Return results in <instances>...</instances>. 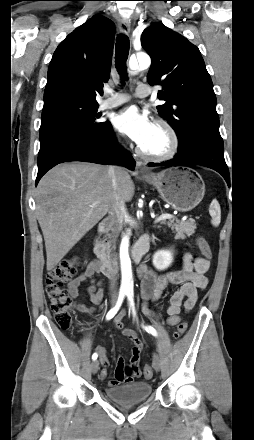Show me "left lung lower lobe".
<instances>
[{
    "mask_svg": "<svg viewBox=\"0 0 254 440\" xmlns=\"http://www.w3.org/2000/svg\"><path fill=\"white\" fill-rule=\"evenodd\" d=\"M148 165L167 167L201 165L219 172L227 184H230L229 170L224 159L223 140L217 132L198 131L190 137L184 149L178 147L174 159Z\"/></svg>",
    "mask_w": 254,
    "mask_h": 440,
    "instance_id": "0a47b994",
    "label": "left lung lower lobe"
}]
</instances>
